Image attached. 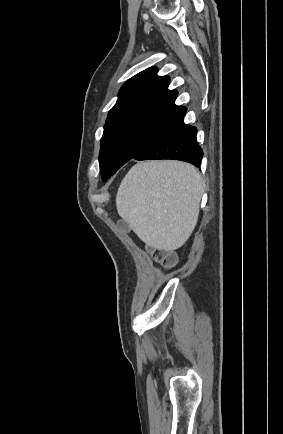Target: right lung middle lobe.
<instances>
[{
	"mask_svg": "<svg viewBox=\"0 0 283 434\" xmlns=\"http://www.w3.org/2000/svg\"><path fill=\"white\" fill-rule=\"evenodd\" d=\"M176 121L136 114L107 120L101 139L99 163L102 180H108L127 161Z\"/></svg>",
	"mask_w": 283,
	"mask_h": 434,
	"instance_id": "obj_1",
	"label": "right lung middle lobe"
}]
</instances>
